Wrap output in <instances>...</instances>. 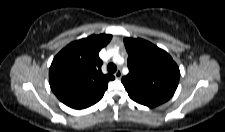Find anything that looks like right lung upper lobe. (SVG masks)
<instances>
[{"label": "right lung upper lobe", "instance_id": "1", "mask_svg": "<svg viewBox=\"0 0 225 132\" xmlns=\"http://www.w3.org/2000/svg\"><path fill=\"white\" fill-rule=\"evenodd\" d=\"M111 38L107 34L91 35L70 43L55 56L49 84L61 102L73 109H84L103 97L114 76L102 73L99 51Z\"/></svg>", "mask_w": 225, "mask_h": 132}]
</instances>
